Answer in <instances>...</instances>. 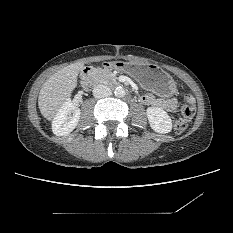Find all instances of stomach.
<instances>
[{
  "mask_svg": "<svg viewBox=\"0 0 233 233\" xmlns=\"http://www.w3.org/2000/svg\"><path fill=\"white\" fill-rule=\"evenodd\" d=\"M112 66L133 77L142 87L159 96H171L176 91L173 78L158 65L151 63L115 61Z\"/></svg>",
  "mask_w": 233,
  "mask_h": 233,
  "instance_id": "1",
  "label": "stomach"
}]
</instances>
